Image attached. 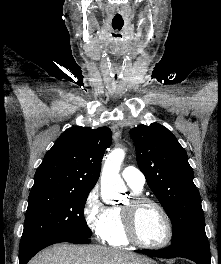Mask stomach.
<instances>
[{
  "label": "stomach",
  "instance_id": "stomach-1",
  "mask_svg": "<svg viewBox=\"0 0 221 264\" xmlns=\"http://www.w3.org/2000/svg\"><path fill=\"white\" fill-rule=\"evenodd\" d=\"M150 264H156V263H154V262L151 261Z\"/></svg>",
  "mask_w": 221,
  "mask_h": 264
}]
</instances>
